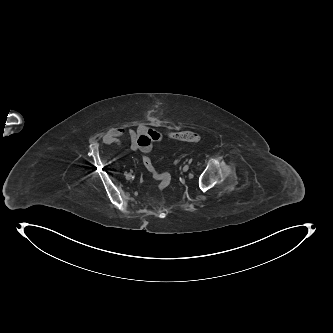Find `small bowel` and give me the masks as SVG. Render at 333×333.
Returning a JSON list of instances; mask_svg holds the SVG:
<instances>
[{"mask_svg":"<svg viewBox=\"0 0 333 333\" xmlns=\"http://www.w3.org/2000/svg\"><path fill=\"white\" fill-rule=\"evenodd\" d=\"M128 136L132 151H140L148 155L153 150V143L160 142L164 138L162 131L149 127L145 124H139L136 127H114L108 130L103 136V142L106 145L119 144L120 139Z\"/></svg>","mask_w":333,"mask_h":333,"instance_id":"obj_1","label":"small bowel"}]
</instances>
